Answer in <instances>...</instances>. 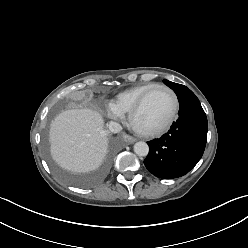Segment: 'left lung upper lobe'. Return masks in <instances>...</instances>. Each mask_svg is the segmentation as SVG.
<instances>
[{
	"instance_id": "left-lung-upper-lobe-1",
	"label": "left lung upper lobe",
	"mask_w": 248,
	"mask_h": 248,
	"mask_svg": "<svg viewBox=\"0 0 248 248\" xmlns=\"http://www.w3.org/2000/svg\"><path fill=\"white\" fill-rule=\"evenodd\" d=\"M163 82L165 85L174 90L178 97V100L180 101H184L186 103L190 97L195 96L194 93L184 85L170 82L168 80H163Z\"/></svg>"
}]
</instances>
